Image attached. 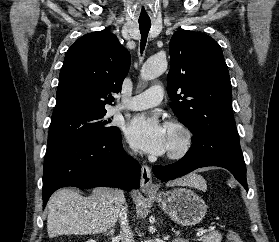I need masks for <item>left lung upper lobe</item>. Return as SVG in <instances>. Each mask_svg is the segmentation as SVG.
Wrapping results in <instances>:
<instances>
[{
	"mask_svg": "<svg viewBox=\"0 0 279 242\" xmlns=\"http://www.w3.org/2000/svg\"><path fill=\"white\" fill-rule=\"evenodd\" d=\"M170 57V106L194 135L185 156H223L244 162L220 45L206 34L181 30L170 40Z\"/></svg>",
	"mask_w": 279,
	"mask_h": 242,
	"instance_id": "obj_1",
	"label": "left lung upper lobe"
}]
</instances>
